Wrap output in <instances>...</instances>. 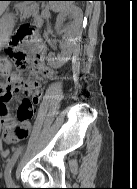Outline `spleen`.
<instances>
[{"label":"spleen","instance_id":"obj_1","mask_svg":"<svg viewBox=\"0 0 137 189\" xmlns=\"http://www.w3.org/2000/svg\"><path fill=\"white\" fill-rule=\"evenodd\" d=\"M72 2L69 1H49L50 8L54 12H62L68 8Z\"/></svg>","mask_w":137,"mask_h":189}]
</instances>
